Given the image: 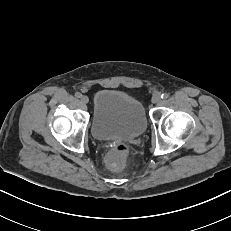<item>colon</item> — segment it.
Here are the masks:
<instances>
[{"label":"colon","mask_w":231,"mask_h":231,"mask_svg":"<svg viewBox=\"0 0 231 231\" xmlns=\"http://www.w3.org/2000/svg\"><path fill=\"white\" fill-rule=\"evenodd\" d=\"M130 147L127 143L116 144L107 154L106 162L113 170H120L125 166Z\"/></svg>","instance_id":"obj_1"}]
</instances>
